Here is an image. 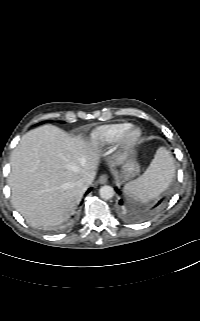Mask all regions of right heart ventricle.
<instances>
[{
	"instance_id": "obj_1",
	"label": "right heart ventricle",
	"mask_w": 200,
	"mask_h": 321,
	"mask_svg": "<svg viewBox=\"0 0 200 321\" xmlns=\"http://www.w3.org/2000/svg\"><path fill=\"white\" fill-rule=\"evenodd\" d=\"M132 125L128 122H118L95 128L90 134V141L95 146H107L118 142L125 131Z\"/></svg>"
}]
</instances>
